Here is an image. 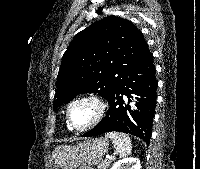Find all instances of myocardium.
<instances>
[{
	"mask_svg": "<svg viewBox=\"0 0 200 169\" xmlns=\"http://www.w3.org/2000/svg\"><path fill=\"white\" fill-rule=\"evenodd\" d=\"M82 102H89L92 103L95 106L96 109V114L93 118V120L87 124L86 126L83 127H76L74 126V124L72 123L71 120V109L78 103H82ZM107 102L106 100L100 96L99 94L96 93H85L82 94L80 96H77L76 98H74L67 106L66 109V119H67V123L70 129L75 130L77 132H85L88 130L93 129L94 127H96L105 117L106 112H107Z\"/></svg>",
	"mask_w": 200,
	"mask_h": 169,
	"instance_id": "1",
	"label": "myocardium"
}]
</instances>
